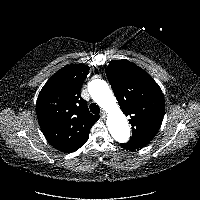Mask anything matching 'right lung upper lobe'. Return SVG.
Here are the masks:
<instances>
[{"instance_id":"right-lung-upper-lobe-1","label":"right lung upper lobe","mask_w":200,"mask_h":200,"mask_svg":"<svg viewBox=\"0 0 200 200\" xmlns=\"http://www.w3.org/2000/svg\"><path fill=\"white\" fill-rule=\"evenodd\" d=\"M89 67L72 64L57 71L43 86L36 103L38 122L47 141L72 153L82 147L98 116L89 112L80 90Z\"/></svg>"}]
</instances>
